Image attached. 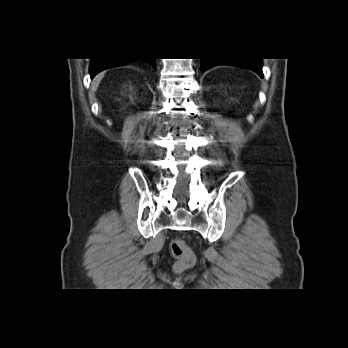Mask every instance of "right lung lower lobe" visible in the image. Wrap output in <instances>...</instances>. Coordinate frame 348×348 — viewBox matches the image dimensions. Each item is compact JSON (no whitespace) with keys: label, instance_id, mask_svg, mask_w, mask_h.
I'll return each instance as SVG.
<instances>
[{"label":"right lung lower lobe","instance_id":"98d812e1","mask_svg":"<svg viewBox=\"0 0 348 348\" xmlns=\"http://www.w3.org/2000/svg\"><path fill=\"white\" fill-rule=\"evenodd\" d=\"M151 66L156 68L155 58L144 59ZM133 59H111V58H101V59H91L90 63V75L93 78L98 72L105 70L107 68L123 66L132 62Z\"/></svg>","mask_w":348,"mask_h":348}]
</instances>
